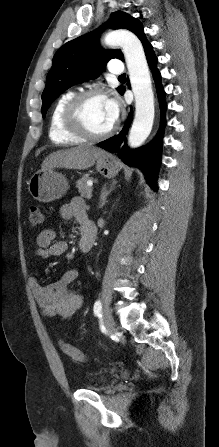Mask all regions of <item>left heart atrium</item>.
Here are the masks:
<instances>
[{
    "instance_id": "left-heart-atrium-1",
    "label": "left heart atrium",
    "mask_w": 219,
    "mask_h": 447,
    "mask_svg": "<svg viewBox=\"0 0 219 447\" xmlns=\"http://www.w3.org/2000/svg\"><path fill=\"white\" fill-rule=\"evenodd\" d=\"M105 100L108 115L110 117L112 124L114 125L120 115V103L116 98H107Z\"/></svg>"
}]
</instances>
